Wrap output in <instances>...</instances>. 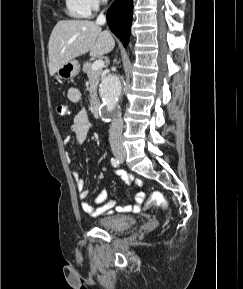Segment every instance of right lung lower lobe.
<instances>
[{"label":"right lung lower lobe","instance_id":"98d812e1","mask_svg":"<svg viewBox=\"0 0 243 289\" xmlns=\"http://www.w3.org/2000/svg\"><path fill=\"white\" fill-rule=\"evenodd\" d=\"M133 0H115L107 12V22L111 31L121 39L126 47L131 33Z\"/></svg>","mask_w":243,"mask_h":289}]
</instances>
